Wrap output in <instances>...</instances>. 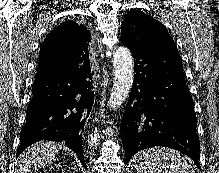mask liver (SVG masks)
I'll return each instance as SVG.
<instances>
[{
	"instance_id": "1",
	"label": "liver",
	"mask_w": 219,
	"mask_h": 173,
	"mask_svg": "<svg viewBox=\"0 0 219 173\" xmlns=\"http://www.w3.org/2000/svg\"><path fill=\"white\" fill-rule=\"evenodd\" d=\"M62 148L63 145L57 142H39L32 145L20 155L19 169L15 173H34V170L49 164Z\"/></svg>"
}]
</instances>
